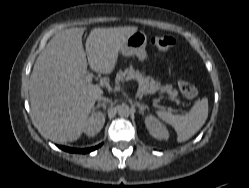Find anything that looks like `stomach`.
I'll use <instances>...</instances> for the list:
<instances>
[{"label": "stomach", "instance_id": "0dacf381", "mask_svg": "<svg viewBox=\"0 0 249 188\" xmlns=\"http://www.w3.org/2000/svg\"><path fill=\"white\" fill-rule=\"evenodd\" d=\"M147 36L143 31L135 32L124 42L121 54L125 57L136 56L140 61L147 60Z\"/></svg>", "mask_w": 249, "mask_h": 188}]
</instances>
